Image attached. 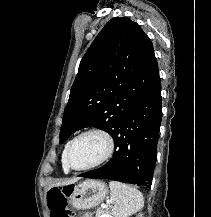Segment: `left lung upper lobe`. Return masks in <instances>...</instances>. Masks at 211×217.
I'll use <instances>...</instances> for the list:
<instances>
[{
	"label": "left lung upper lobe",
	"instance_id": "obj_1",
	"mask_svg": "<svg viewBox=\"0 0 211 217\" xmlns=\"http://www.w3.org/2000/svg\"><path fill=\"white\" fill-rule=\"evenodd\" d=\"M158 78L150 38L129 18H112L80 62L63 114L60 143L85 127L112 135Z\"/></svg>",
	"mask_w": 211,
	"mask_h": 217
}]
</instances>
